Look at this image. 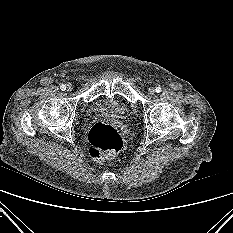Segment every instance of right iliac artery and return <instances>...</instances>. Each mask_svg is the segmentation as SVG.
Instances as JSON below:
<instances>
[{
  "label": "right iliac artery",
  "mask_w": 233,
  "mask_h": 233,
  "mask_svg": "<svg viewBox=\"0 0 233 233\" xmlns=\"http://www.w3.org/2000/svg\"><path fill=\"white\" fill-rule=\"evenodd\" d=\"M60 89H61L62 91H65V90H66V85L62 84V85L60 86Z\"/></svg>",
  "instance_id": "right-iliac-artery-1"
}]
</instances>
